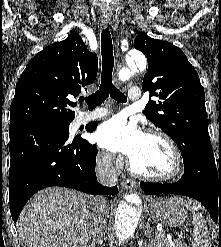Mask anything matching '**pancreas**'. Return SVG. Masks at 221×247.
<instances>
[{"label": "pancreas", "instance_id": "1", "mask_svg": "<svg viewBox=\"0 0 221 247\" xmlns=\"http://www.w3.org/2000/svg\"><path fill=\"white\" fill-rule=\"evenodd\" d=\"M156 246L157 247H180L178 245V240H175L174 242H170L169 240L164 238V235L157 234L156 235Z\"/></svg>", "mask_w": 221, "mask_h": 247}]
</instances>
